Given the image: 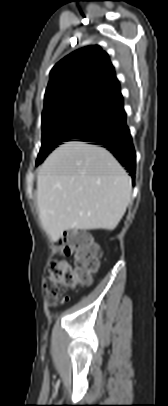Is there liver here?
Wrapping results in <instances>:
<instances>
[{
	"label": "liver",
	"mask_w": 168,
	"mask_h": 406,
	"mask_svg": "<svg viewBox=\"0 0 168 406\" xmlns=\"http://www.w3.org/2000/svg\"><path fill=\"white\" fill-rule=\"evenodd\" d=\"M131 179L106 149L69 141L39 168L37 204L47 232L116 228L131 199Z\"/></svg>",
	"instance_id": "obj_1"
}]
</instances>
